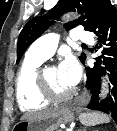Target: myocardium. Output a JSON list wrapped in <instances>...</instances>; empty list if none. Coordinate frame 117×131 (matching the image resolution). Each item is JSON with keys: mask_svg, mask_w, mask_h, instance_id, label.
I'll list each match as a JSON object with an SVG mask.
<instances>
[{"mask_svg": "<svg viewBox=\"0 0 117 131\" xmlns=\"http://www.w3.org/2000/svg\"><path fill=\"white\" fill-rule=\"evenodd\" d=\"M49 67H55V66L51 65L46 68H49ZM46 68L39 70L38 75H37L38 87H39V91H40L41 95L46 100L51 101V102H63V101H67L70 98H72L77 92L76 88H73L71 91H69L67 93H63V94L56 93L50 87V85L48 84V82L44 76V70Z\"/></svg>", "mask_w": 117, "mask_h": 131, "instance_id": "1", "label": "myocardium"}]
</instances>
